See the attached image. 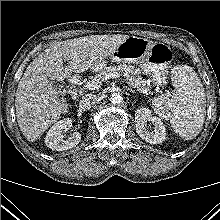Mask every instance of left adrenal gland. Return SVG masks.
Masks as SVG:
<instances>
[{
  "instance_id": "a2214340",
  "label": "left adrenal gland",
  "mask_w": 220,
  "mask_h": 220,
  "mask_svg": "<svg viewBox=\"0 0 220 220\" xmlns=\"http://www.w3.org/2000/svg\"><path fill=\"white\" fill-rule=\"evenodd\" d=\"M127 90H129V91L132 92V93H136L135 90H132V89H130V88H128Z\"/></svg>"
}]
</instances>
